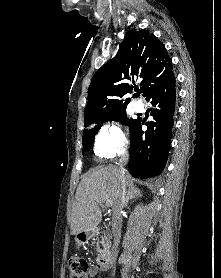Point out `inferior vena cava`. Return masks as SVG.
Instances as JSON below:
<instances>
[{"instance_id": "obj_1", "label": "inferior vena cava", "mask_w": 221, "mask_h": 278, "mask_svg": "<svg viewBox=\"0 0 221 278\" xmlns=\"http://www.w3.org/2000/svg\"><path fill=\"white\" fill-rule=\"evenodd\" d=\"M129 160V154L124 153L121 156V159L119 160V168L122 172H124V166L128 163ZM125 185L121 182V184L118 187L117 193H116V200L114 202V205L112 207V233L115 237L114 239V245L112 247L113 251L116 250L117 246V237L120 234L121 231V212L125 205Z\"/></svg>"}]
</instances>
